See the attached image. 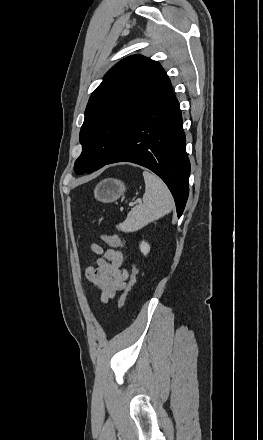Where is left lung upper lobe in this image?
Wrapping results in <instances>:
<instances>
[{"label": "left lung upper lobe", "instance_id": "obj_1", "mask_svg": "<svg viewBox=\"0 0 263 440\" xmlns=\"http://www.w3.org/2000/svg\"><path fill=\"white\" fill-rule=\"evenodd\" d=\"M167 79L158 62L141 55L127 57L107 72L85 110L76 174L96 171L114 156L138 112Z\"/></svg>", "mask_w": 263, "mask_h": 440}]
</instances>
